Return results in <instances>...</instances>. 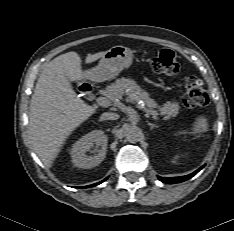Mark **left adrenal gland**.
Listing matches in <instances>:
<instances>
[{
	"instance_id": "a2214340",
	"label": "left adrenal gland",
	"mask_w": 234,
	"mask_h": 231,
	"mask_svg": "<svg viewBox=\"0 0 234 231\" xmlns=\"http://www.w3.org/2000/svg\"><path fill=\"white\" fill-rule=\"evenodd\" d=\"M147 124L150 126V130L154 129V128H157L158 126L155 125V124H152L150 122H147Z\"/></svg>"
}]
</instances>
